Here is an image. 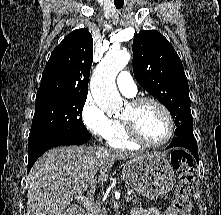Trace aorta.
<instances>
[{"label":"aorta","mask_w":221,"mask_h":215,"mask_svg":"<svg viewBox=\"0 0 221 215\" xmlns=\"http://www.w3.org/2000/svg\"><path fill=\"white\" fill-rule=\"evenodd\" d=\"M128 51L110 50L97 65L91 79V94L94 101L107 115H117L123 107V100L116 88L117 74L130 60Z\"/></svg>","instance_id":"762f6f07"}]
</instances>
